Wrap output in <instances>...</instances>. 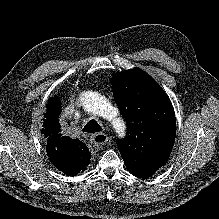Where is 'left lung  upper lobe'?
Listing matches in <instances>:
<instances>
[{"instance_id":"1","label":"left lung upper lobe","mask_w":219,"mask_h":219,"mask_svg":"<svg viewBox=\"0 0 219 219\" xmlns=\"http://www.w3.org/2000/svg\"><path fill=\"white\" fill-rule=\"evenodd\" d=\"M116 104L127 123L118 149L128 169L156 168L167 162L176 137L173 106L159 84L138 68L116 73Z\"/></svg>"}]
</instances>
